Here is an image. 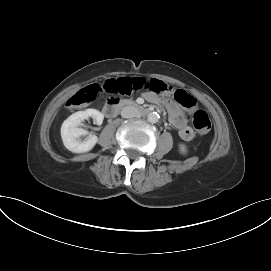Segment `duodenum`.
I'll list each match as a JSON object with an SVG mask.
<instances>
[{
  "label": "duodenum",
  "instance_id": "1",
  "mask_svg": "<svg viewBox=\"0 0 271 271\" xmlns=\"http://www.w3.org/2000/svg\"><path fill=\"white\" fill-rule=\"evenodd\" d=\"M124 106H130V107L135 108V110L141 115H145L149 112L146 108L139 106L133 102L126 101V100H117V99L109 100L106 103L103 109V112L106 117L112 118L116 116L118 111Z\"/></svg>",
  "mask_w": 271,
  "mask_h": 271
}]
</instances>
